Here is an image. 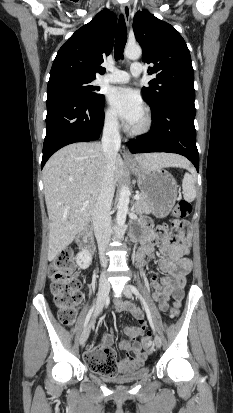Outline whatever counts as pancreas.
<instances>
[{
	"label": "pancreas",
	"mask_w": 233,
	"mask_h": 413,
	"mask_svg": "<svg viewBox=\"0 0 233 413\" xmlns=\"http://www.w3.org/2000/svg\"><path fill=\"white\" fill-rule=\"evenodd\" d=\"M140 198L135 202V212L138 215L149 214L152 212V206L148 198L142 193L139 194Z\"/></svg>",
	"instance_id": "1"
}]
</instances>
